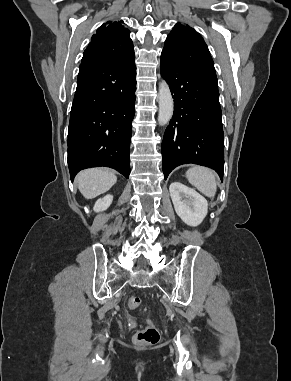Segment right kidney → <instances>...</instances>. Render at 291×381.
Here are the masks:
<instances>
[{
  "label": "right kidney",
  "instance_id": "obj_1",
  "mask_svg": "<svg viewBox=\"0 0 291 381\" xmlns=\"http://www.w3.org/2000/svg\"><path fill=\"white\" fill-rule=\"evenodd\" d=\"M113 201V196L112 195H106L101 199H98L94 205V211L95 212H101L105 211L109 206L111 205Z\"/></svg>",
  "mask_w": 291,
  "mask_h": 381
}]
</instances>
